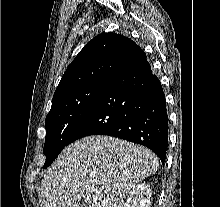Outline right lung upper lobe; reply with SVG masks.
Masks as SVG:
<instances>
[{"mask_svg":"<svg viewBox=\"0 0 220 207\" xmlns=\"http://www.w3.org/2000/svg\"><path fill=\"white\" fill-rule=\"evenodd\" d=\"M145 57V52L128 37L111 32L99 34L68 66L53 98L80 86L109 79Z\"/></svg>","mask_w":220,"mask_h":207,"instance_id":"cb5924a9","label":"right lung upper lobe"}]
</instances>
